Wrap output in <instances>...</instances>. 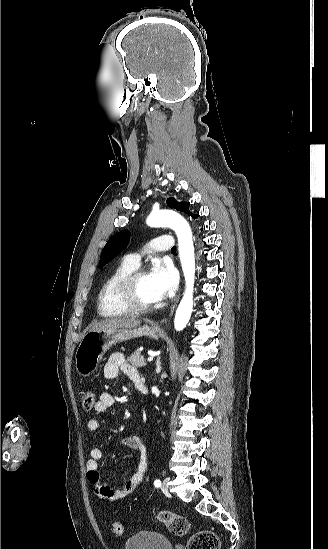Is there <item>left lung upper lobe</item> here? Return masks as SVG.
Listing matches in <instances>:
<instances>
[{
	"instance_id": "left-lung-upper-lobe-1",
	"label": "left lung upper lobe",
	"mask_w": 328,
	"mask_h": 549,
	"mask_svg": "<svg viewBox=\"0 0 328 549\" xmlns=\"http://www.w3.org/2000/svg\"><path fill=\"white\" fill-rule=\"evenodd\" d=\"M167 205L170 208H174L179 211H183L187 213L189 216L195 218H198V215L192 214L189 211V203L188 202H178L174 198H168L167 199ZM202 230V229H201ZM129 242V234L127 230H122L113 237L109 239L105 247L103 248V251L101 253L99 266L103 267L108 262H110L113 258H115L122 250H124Z\"/></svg>"
}]
</instances>
